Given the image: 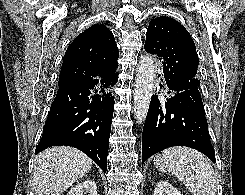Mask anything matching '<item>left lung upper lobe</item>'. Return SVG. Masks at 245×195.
<instances>
[{
  "label": "left lung upper lobe",
  "mask_w": 245,
  "mask_h": 195,
  "mask_svg": "<svg viewBox=\"0 0 245 195\" xmlns=\"http://www.w3.org/2000/svg\"><path fill=\"white\" fill-rule=\"evenodd\" d=\"M144 49L158 56L163 73L171 80L200 85L196 78L199 60L195 44L189 32L176 20L154 17L147 29Z\"/></svg>",
  "instance_id": "5c2ea615"
}]
</instances>
